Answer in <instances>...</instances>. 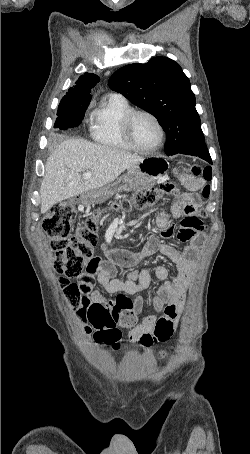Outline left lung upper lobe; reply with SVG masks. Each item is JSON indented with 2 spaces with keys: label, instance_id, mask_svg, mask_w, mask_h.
Returning a JSON list of instances; mask_svg holds the SVG:
<instances>
[{
  "label": "left lung upper lobe",
  "instance_id": "left-lung-upper-lobe-1",
  "mask_svg": "<svg viewBox=\"0 0 250 454\" xmlns=\"http://www.w3.org/2000/svg\"><path fill=\"white\" fill-rule=\"evenodd\" d=\"M108 84L158 119L167 134V155L204 142L190 81L175 61L154 57L145 64L124 66Z\"/></svg>",
  "mask_w": 250,
  "mask_h": 454
}]
</instances>
